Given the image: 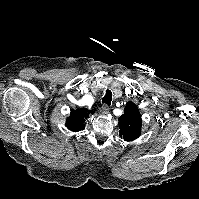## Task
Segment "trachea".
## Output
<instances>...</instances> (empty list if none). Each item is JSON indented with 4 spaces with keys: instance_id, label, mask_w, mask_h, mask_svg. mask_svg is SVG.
<instances>
[{
    "instance_id": "obj_1",
    "label": "trachea",
    "mask_w": 199,
    "mask_h": 199,
    "mask_svg": "<svg viewBox=\"0 0 199 199\" xmlns=\"http://www.w3.org/2000/svg\"><path fill=\"white\" fill-rule=\"evenodd\" d=\"M111 101H112V93L110 90L106 91V94L104 95V97L102 98V103L110 106L111 105Z\"/></svg>"
}]
</instances>
